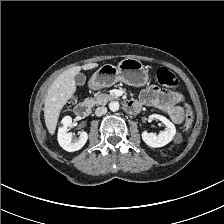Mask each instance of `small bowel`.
<instances>
[{
	"label": "small bowel",
	"instance_id": "c3829d8e",
	"mask_svg": "<svg viewBox=\"0 0 224 224\" xmlns=\"http://www.w3.org/2000/svg\"><path fill=\"white\" fill-rule=\"evenodd\" d=\"M183 100V96L177 92H168L157 87H147L142 90L139 100L136 103L146 106H153L168 115L175 123L182 122L183 111L176 104Z\"/></svg>",
	"mask_w": 224,
	"mask_h": 224
}]
</instances>
